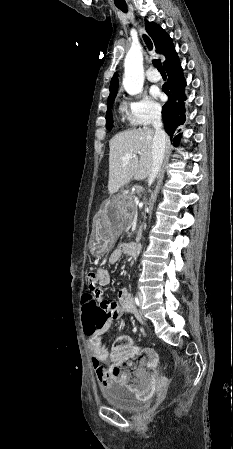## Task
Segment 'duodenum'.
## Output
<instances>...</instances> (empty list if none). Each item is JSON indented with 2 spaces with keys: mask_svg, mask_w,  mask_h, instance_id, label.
Wrapping results in <instances>:
<instances>
[{
  "mask_svg": "<svg viewBox=\"0 0 233 449\" xmlns=\"http://www.w3.org/2000/svg\"><path fill=\"white\" fill-rule=\"evenodd\" d=\"M125 250L128 251L132 256L138 257L140 254V245L137 242H130L125 247Z\"/></svg>",
  "mask_w": 233,
  "mask_h": 449,
  "instance_id": "1",
  "label": "duodenum"
}]
</instances>
